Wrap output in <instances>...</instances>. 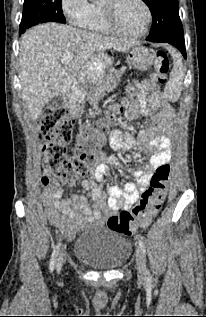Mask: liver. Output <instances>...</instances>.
<instances>
[{
	"mask_svg": "<svg viewBox=\"0 0 206 317\" xmlns=\"http://www.w3.org/2000/svg\"><path fill=\"white\" fill-rule=\"evenodd\" d=\"M137 42L115 39L59 23H44L27 30L21 37L19 79L22 100L32 119L40 116L51 98L70 96L81 68L106 49L127 51ZM67 52L76 55L60 62Z\"/></svg>",
	"mask_w": 206,
	"mask_h": 317,
	"instance_id": "6515ba94",
	"label": "liver"
}]
</instances>
